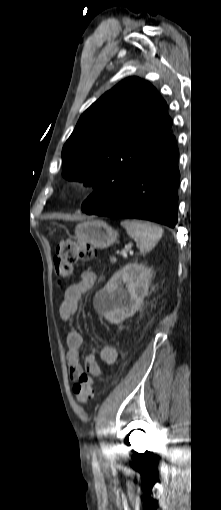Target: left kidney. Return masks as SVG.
Here are the masks:
<instances>
[{
    "label": "left kidney",
    "mask_w": 221,
    "mask_h": 510,
    "mask_svg": "<svg viewBox=\"0 0 221 510\" xmlns=\"http://www.w3.org/2000/svg\"><path fill=\"white\" fill-rule=\"evenodd\" d=\"M151 278V268L138 263L125 265L96 293L94 308L110 323H122L133 316L143 303Z\"/></svg>",
    "instance_id": "1"
}]
</instances>
